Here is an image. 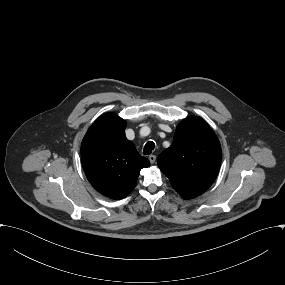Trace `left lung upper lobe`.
<instances>
[{"label":"left lung upper lobe","mask_w":285,"mask_h":285,"mask_svg":"<svg viewBox=\"0 0 285 285\" xmlns=\"http://www.w3.org/2000/svg\"><path fill=\"white\" fill-rule=\"evenodd\" d=\"M221 146L208 124L187 117L176 128L172 145L158 157L160 170L185 199L204 193L217 177Z\"/></svg>","instance_id":"1"}]
</instances>
